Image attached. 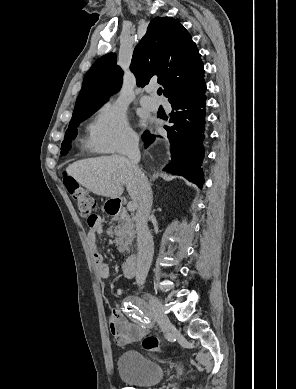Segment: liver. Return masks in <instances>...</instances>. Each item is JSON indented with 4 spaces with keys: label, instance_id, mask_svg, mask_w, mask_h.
<instances>
[{
    "label": "liver",
    "instance_id": "obj_1",
    "mask_svg": "<svg viewBox=\"0 0 296 389\" xmlns=\"http://www.w3.org/2000/svg\"><path fill=\"white\" fill-rule=\"evenodd\" d=\"M66 173L99 196L118 198L126 186L131 199L139 203L138 181L125 156L111 155L79 160L69 165Z\"/></svg>",
    "mask_w": 296,
    "mask_h": 389
}]
</instances>
